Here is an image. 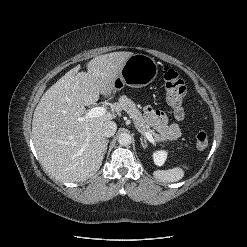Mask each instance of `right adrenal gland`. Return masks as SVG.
<instances>
[{"mask_svg": "<svg viewBox=\"0 0 247 247\" xmlns=\"http://www.w3.org/2000/svg\"><path fill=\"white\" fill-rule=\"evenodd\" d=\"M108 143H109V140H108V139H106V141H105V149H104V154L107 152V145H108Z\"/></svg>", "mask_w": 247, "mask_h": 247, "instance_id": "obj_1", "label": "right adrenal gland"}]
</instances>
